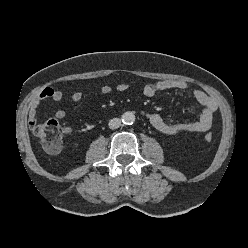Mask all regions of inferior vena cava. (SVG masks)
Instances as JSON below:
<instances>
[{"mask_svg": "<svg viewBox=\"0 0 248 248\" xmlns=\"http://www.w3.org/2000/svg\"><path fill=\"white\" fill-rule=\"evenodd\" d=\"M108 126L110 129H117L121 126V120L119 118H113L109 121Z\"/></svg>", "mask_w": 248, "mask_h": 248, "instance_id": "inferior-vena-cava-1", "label": "inferior vena cava"}]
</instances>
